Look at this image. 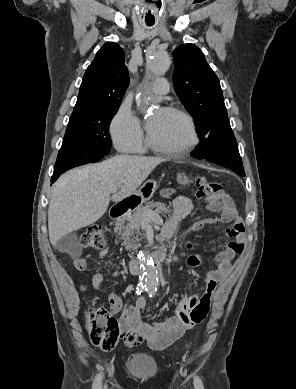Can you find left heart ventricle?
Listing matches in <instances>:
<instances>
[{
    "instance_id": "b2bd125f",
    "label": "left heart ventricle",
    "mask_w": 296,
    "mask_h": 389,
    "mask_svg": "<svg viewBox=\"0 0 296 389\" xmlns=\"http://www.w3.org/2000/svg\"><path fill=\"white\" fill-rule=\"evenodd\" d=\"M150 120L154 121V125L149 132L153 140L159 145L169 147L180 146L189 138L187 124L177 114L166 110H157Z\"/></svg>"
}]
</instances>
